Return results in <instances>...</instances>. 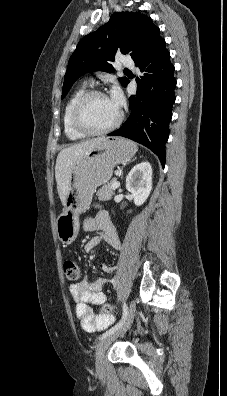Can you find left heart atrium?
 I'll list each match as a JSON object with an SVG mask.
<instances>
[{
	"label": "left heart atrium",
	"mask_w": 227,
	"mask_h": 396,
	"mask_svg": "<svg viewBox=\"0 0 227 396\" xmlns=\"http://www.w3.org/2000/svg\"><path fill=\"white\" fill-rule=\"evenodd\" d=\"M109 99L117 108L121 107L123 104V96L118 87L112 89Z\"/></svg>",
	"instance_id": "obj_1"
}]
</instances>
